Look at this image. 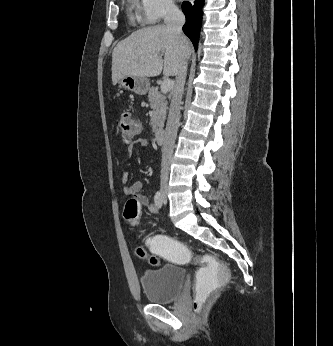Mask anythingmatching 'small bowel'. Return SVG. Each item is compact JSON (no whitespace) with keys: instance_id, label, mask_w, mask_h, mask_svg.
I'll list each match as a JSON object with an SVG mask.
<instances>
[{"instance_id":"1","label":"small bowel","mask_w":333,"mask_h":346,"mask_svg":"<svg viewBox=\"0 0 333 346\" xmlns=\"http://www.w3.org/2000/svg\"><path fill=\"white\" fill-rule=\"evenodd\" d=\"M149 141L147 138H138L136 139L132 144L128 147V155L131 156L135 150L136 147L138 148H144L148 145ZM130 179V173L125 171L122 174V180L125 183L124 186V193L127 196H132L138 199L140 204L148 209L151 213L157 212V206L156 204H153L149 201L148 197L146 195H143L140 193L142 184L140 182H134L132 184H128V181ZM149 240V239H148Z\"/></svg>"}]
</instances>
